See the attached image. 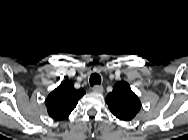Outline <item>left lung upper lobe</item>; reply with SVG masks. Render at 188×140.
Segmentation results:
<instances>
[{
    "mask_svg": "<svg viewBox=\"0 0 188 140\" xmlns=\"http://www.w3.org/2000/svg\"><path fill=\"white\" fill-rule=\"evenodd\" d=\"M106 103L112 114L123 121L132 120L141 109L139 98L124 81L115 84L106 97Z\"/></svg>",
    "mask_w": 188,
    "mask_h": 140,
    "instance_id": "5c2ea615",
    "label": "left lung upper lobe"
}]
</instances>
